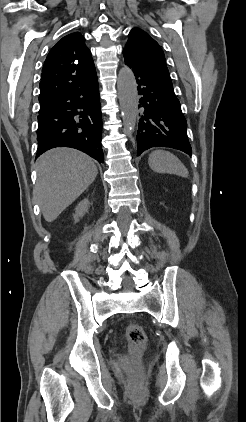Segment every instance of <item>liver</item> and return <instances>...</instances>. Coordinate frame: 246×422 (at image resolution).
I'll list each match as a JSON object with an SVG mask.
<instances>
[{
	"label": "liver",
	"instance_id": "1",
	"mask_svg": "<svg viewBox=\"0 0 246 422\" xmlns=\"http://www.w3.org/2000/svg\"><path fill=\"white\" fill-rule=\"evenodd\" d=\"M98 170L86 154L55 148L37 160L35 198L47 222L54 221L95 180Z\"/></svg>",
	"mask_w": 246,
	"mask_h": 422
}]
</instances>
